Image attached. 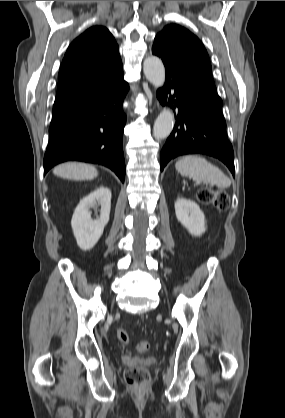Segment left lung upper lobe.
Wrapping results in <instances>:
<instances>
[{
    "label": "left lung upper lobe",
    "instance_id": "left-lung-upper-lobe-1",
    "mask_svg": "<svg viewBox=\"0 0 285 418\" xmlns=\"http://www.w3.org/2000/svg\"><path fill=\"white\" fill-rule=\"evenodd\" d=\"M154 42L160 43L172 56L214 83L207 51L189 30L176 24L167 25Z\"/></svg>",
    "mask_w": 285,
    "mask_h": 418
}]
</instances>
